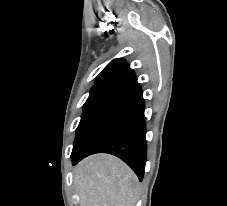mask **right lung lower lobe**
<instances>
[{"label": "right lung lower lobe", "mask_w": 227, "mask_h": 206, "mask_svg": "<svg viewBox=\"0 0 227 206\" xmlns=\"http://www.w3.org/2000/svg\"><path fill=\"white\" fill-rule=\"evenodd\" d=\"M141 86L129 90L110 105L71 154L72 164L95 153H109L126 162L142 181L146 164V123Z\"/></svg>", "instance_id": "obj_1"}]
</instances>
